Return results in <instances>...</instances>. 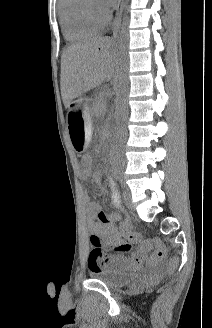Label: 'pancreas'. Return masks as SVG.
<instances>
[{"instance_id": "pancreas-1", "label": "pancreas", "mask_w": 212, "mask_h": 328, "mask_svg": "<svg viewBox=\"0 0 212 328\" xmlns=\"http://www.w3.org/2000/svg\"><path fill=\"white\" fill-rule=\"evenodd\" d=\"M95 109L100 113H105L106 110V101L103 93H100L98 99L96 100Z\"/></svg>"}]
</instances>
